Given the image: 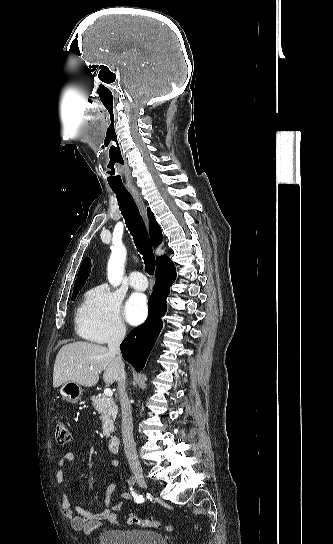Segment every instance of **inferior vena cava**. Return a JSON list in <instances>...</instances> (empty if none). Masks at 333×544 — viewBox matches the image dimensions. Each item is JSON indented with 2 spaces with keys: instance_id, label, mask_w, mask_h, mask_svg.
Returning a JSON list of instances; mask_svg holds the SVG:
<instances>
[{
  "instance_id": "inferior-vena-cava-1",
  "label": "inferior vena cava",
  "mask_w": 333,
  "mask_h": 544,
  "mask_svg": "<svg viewBox=\"0 0 333 544\" xmlns=\"http://www.w3.org/2000/svg\"><path fill=\"white\" fill-rule=\"evenodd\" d=\"M126 329L119 327L110 336L108 341L109 352L116 358L119 364L118 370V393L122 410V437L126 457L131 468H140L135 442L133 438V424L130 402L125 390L126 375L124 365L121 360L120 344L124 339Z\"/></svg>"
}]
</instances>
